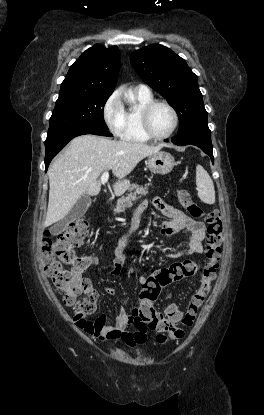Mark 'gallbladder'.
I'll return each instance as SVG.
<instances>
[{
	"instance_id": "1",
	"label": "gallbladder",
	"mask_w": 264,
	"mask_h": 415,
	"mask_svg": "<svg viewBox=\"0 0 264 415\" xmlns=\"http://www.w3.org/2000/svg\"><path fill=\"white\" fill-rule=\"evenodd\" d=\"M90 205L91 199L87 196H82L64 218L63 222L78 220L86 213Z\"/></svg>"
}]
</instances>
